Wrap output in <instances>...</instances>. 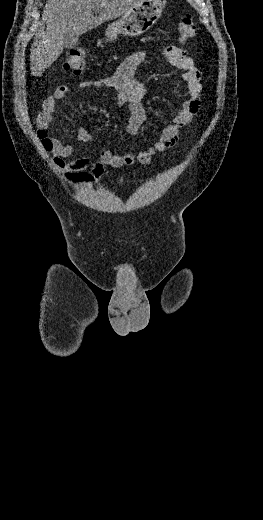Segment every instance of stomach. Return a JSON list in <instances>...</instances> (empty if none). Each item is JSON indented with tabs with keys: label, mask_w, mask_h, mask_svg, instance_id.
<instances>
[{
	"label": "stomach",
	"mask_w": 263,
	"mask_h": 520,
	"mask_svg": "<svg viewBox=\"0 0 263 520\" xmlns=\"http://www.w3.org/2000/svg\"><path fill=\"white\" fill-rule=\"evenodd\" d=\"M164 5L165 1L162 0H144L123 14L118 21L108 25L105 31L107 39L112 41L119 34L131 37L143 34L160 18Z\"/></svg>",
	"instance_id": "0dacf381"
}]
</instances>
